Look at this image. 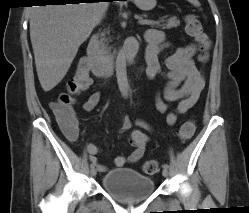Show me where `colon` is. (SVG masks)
Instances as JSON below:
<instances>
[{"label":"colon","mask_w":249,"mask_h":213,"mask_svg":"<svg viewBox=\"0 0 249 213\" xmlns=\"http://www.w3.org/2000/svg\"><path fill=\"white\" fill-rule=\"evenodd\" d=\"M186 33L193 37L199 44L201 49L200 61L206 62L208 58L209 39L203 32L199 20L192 14L185 17ZM92 83L90 71L85 60H82L73 78L68 82L66 92L61 93L55 101L50 103V108L55 114L60 124L69 127L75 122L72 106L75 97L87 90ZM195 131V123L193 120L184 122L178 132L181 140L189 139ZM142 170L147 175H153L158 171V163L154 159L146 160L142 165Z\"/></svg>","instance_id":"obj_1"}]
</instances>
